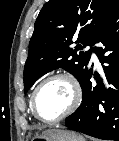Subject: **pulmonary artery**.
I'll return each instance as SVG.
<instances>
[{"label":"pulmonary artery","mask_w":119,"mask_h":141,"mask_svg":"<svg viewBox=\"0 0 119 141\" xmlns=\"http://www.w3.org/2000/svg\"><path fill=\"white\" fill-rule=\"evenodd\" d=\"M91 59L95 65L99 66V60H98V57L94 51H92V53H91Z\"/></svg>","instance_id":"obj_1"}]
</instances>
